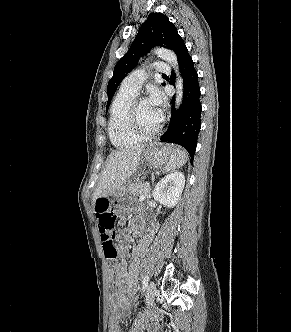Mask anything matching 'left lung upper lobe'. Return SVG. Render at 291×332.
<instances>
[{
	"label": "left lung upper lobe",
	"mask_w": 291,
	"mask_h": 332,
	"mask_svg": "<svg viewBox=\"0 0 291 332\" xmlns=\"http://www.w3.org/2000/svg\"><path fill=\"white\" fill-rule=\"evenodd\" d=\"M154 46L169 48L176 53L178 58L186 47L175 25L162 13H151L148 16L147 20L141 25L129 51L116 64L113 77L107 87L108 102L106 109H108L121 81L136 67L140 57L149 53Z\"/></svg>",
	"instance_id": "5c2ea615"
}]
</instances>
